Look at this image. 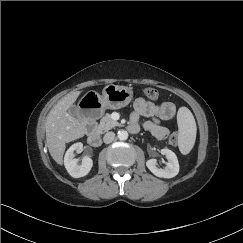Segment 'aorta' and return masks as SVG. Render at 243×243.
Here are the masks:
<instances>
[{"label":"aorta","instance_id":"1","mask_svg":"<svg viewBox=\"0 0 243 243\" xmlns=\"http://www.w3.org/2000/svg\"><path fill=\"white\" fill-rule=\"evenodd\" d=\"M117 137L119 140H127L128 138V132L125 130H119L117 133Z\"/></svg>","mask_w":243,"mask_h":243}]
</instances>
